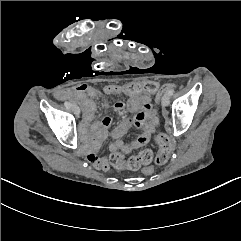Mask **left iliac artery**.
Returning a JSON list of instances; mask_svg holds the SVG:
<instances>
[{
  "label": "left iliac artery",
  "instance_id": "left-iliac-artery-1",
  "mask_svg": "<svg viewBox=\"0 0 241 241\" xmlns=\"http://www.w3.org/2000/svg\"><path fill=\"white\" fill-rule=\"evenodd\" d=\"M173 93H174V89H170V90L167 92V94H168L169 96L173 95Z\"/></svg>",
  "mask_w": 241,
  "mask_h": 241
}]
</instances>
